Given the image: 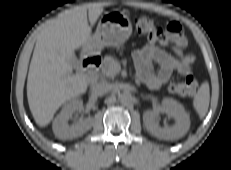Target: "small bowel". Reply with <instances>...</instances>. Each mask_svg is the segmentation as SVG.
Returning <instances> with one entry per match:
<instances>
[{"label":"small bowel","instance_id":"obj_1","mask_svg":"<svg viewBox=\"0 0 231 170\" xmlns=\"http://www.w3.org/2000/svg\"><path fill=\"white\" fill-rule=\"evenodd\" d=\"M158 42L171 47L175 55L162 50ZM186 46L182 26L178 22L169 23L161 37L150 38L148 44L132 53L138 77L149 87L157 88L166 84L174 72L190 74L194 56L184 52ZM155 64L159 65L158 70L154 69Z\"/></svg>","mask_w":231,"mask_h":170}]
</instances>
